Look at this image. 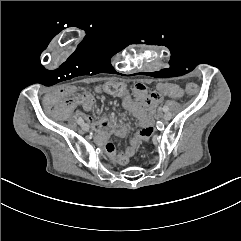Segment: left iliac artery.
<instances>
[{"instance_id":"1","label":"left iliac artery","mask_w":241,"mask_h":241,"mask_svg":"<svg viewBox=\"0 0 241 241\" xmlns=\"http://www.w3.org/2000/svg\"><path fill=\"white\" fill-rule=\"evenodd\" d=\"M162 109H163L164 112H167V111H168V107H167V106H163Z\"/></svg>"}]
</instances>
